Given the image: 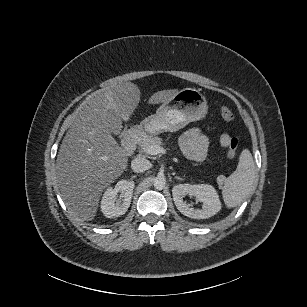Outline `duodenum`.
<instances>
[{
	"label": "duodenum",
	"instance_id": "obj_1",
	"mask_svg": "<svg viewBox=\"0 0 307 307\" xmlns=\"http://www.w3.org/2000/svg\"><path fill=\"white\" fill-rule=\"evenodd\" d=\"M143 137H144V131L140 128H134L128 131L123 139L124 153L127 156H130L134 152L136 146L142 140Z\"/></svg>",
	"mask_w": 307,
	"mask_h": 307
}]
</instances>
